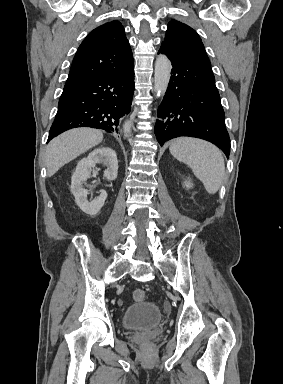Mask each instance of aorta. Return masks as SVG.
Wrapping results in <instances>:
<instances>
[{"mask_svg": "<svg viewBox=\"0 0 283 384\" xmlns=\"http://www.w3.org/2000/svg\"><path fill=\"white\" fill-rule=\"evenodd\" d=\"M171 76V62L167 56L160 54L155 62L154 70V92L156 97L164 95L167 90ZM132 122L128 120L123 125L124 133L129 134L131 132Z\"/></svg>", "mask_w": 283, "mask_h": 384, "instance_id": "aorta-1", "label": "aorta"}]
</instances>
